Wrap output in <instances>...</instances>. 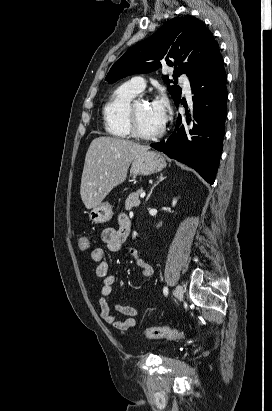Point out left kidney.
Masks as SVG:
<instances>
[{
    "mask_svg": "<svg viewBox=\"0 0 272 411\" xmlns=\"http://www.w3.org/2000/svg\"><path fill=\"white\" fill-rule=\"evenodd\" d=\"M176 203H177V200H176V199H174V200H173V202H172V206H175V205H176Z\"/></svg>",
    "mask_w": 272,
    "mask_h": 411,
    "instance_id": "5707ae66",
    "label": "left kidney"
}]
</instances>
